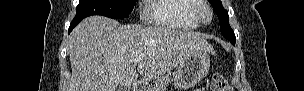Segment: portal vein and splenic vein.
<instances>
[{"instance_id": "1", "label": "portal vein and splenic vein", "mask_w": 304, "mask_h": 91, "mask_svg": "<svg viewBox=\"0 0 304 91\" xmlns=\"http://www.w3.org/2000/svg\"><path fill=\"white\" fill-rule=\"evenodd\" d=\"M140 61H141V57H136V58H134V60H133L134 64H137V63H139Z\"/></svg>"}]
</instances>
